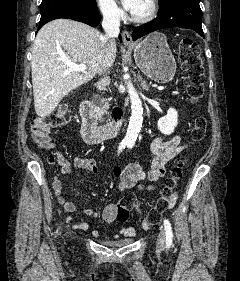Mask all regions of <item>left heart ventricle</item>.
Returning <instances> with one entry per match:
<instances>
[{
    "instance_id": "left-heart-ventricle-1",
    "label": "left heart ventricle",
    "mask_w": 240,
    "mask_h": 281,
    "mask_svg": "<svg viewBox=\"0 0 240 281\" xmlns=\"http://www.w3.org/2000/svg\"><path fill=\"white\" fill-rule=\"evenodd\" d=\"M147 9H148L147 0H142L140 6L133 14L142 15L147 12Z\"/></svg>"
}]
</instances>
